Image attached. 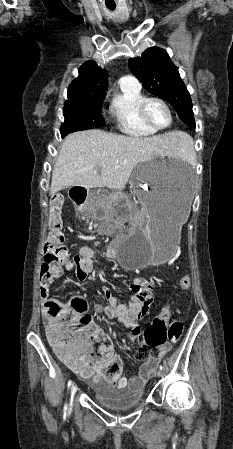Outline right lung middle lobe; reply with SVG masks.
I'll use <instances>...</instances> for the list:
<instances>
[{
	"label": "right lung middle lobe",
	"mask_w": 233,
	"mask_h": 449,
	"mask_svg": "<svg viewBox=\"0 0 233 449\" xmlns=\"http://www.w3.org/2000/svg\"><path fill=\"white\" fill-rule=\"evenodd\" d=\"M106 94L68 97L63 108L65 122L61 127V135L95 127H104L105 121L101 114L103 100Z\"/></svg>",
	"instance_id": "right-lung-middle-lobe-1"
}]
</instances>
